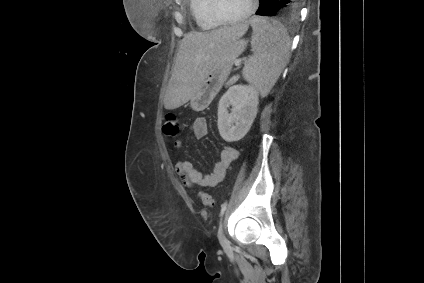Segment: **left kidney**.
Segmentation results:
<instances>
[{"label":"left kidney","instance_id":"5707ae66","mask_svg":"<svg viewBox=\"0 0 424 283\" xmlns=\"http://www.w3.org/2000/svg\"><path fill=\"white\" fill-rule=\"evenodd\" d=\"M259 93L250 85H234L220 99L218 105V130L227 142L242 139L250 130L257 115ZM232 106L231 112L228 108Z\"/></svg>","mask_w":424,"mask_h":283}]
</instances>
